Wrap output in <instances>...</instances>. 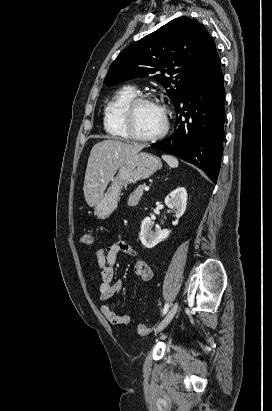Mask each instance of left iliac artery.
Returning <instances> with one entry per match:
<instances>
[{"mask_svg":"<svg viewBox=\"0 0 272 411\" xmlns=\"http://www.w3.org/2000/svg\"><path fill=\"white\" fill-rule=\"evenodd\" d=\"M168 309H169V304L166 303V304L164 305V308H163V312H162L163 315H165V314L167 313Z\"/></svg>","mask_w":272,"mask_h":411,"instance_id":"obj_1","label":"left iliac artery"}]
</instances>
